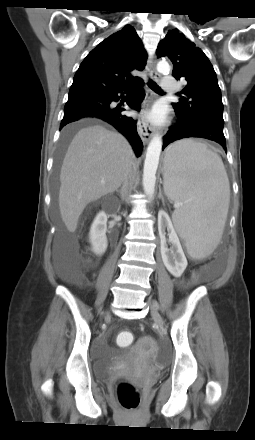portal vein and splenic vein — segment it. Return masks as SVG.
<instances>
[{
  "mask_svg": "<svg viewBox=\"0 0 255 440\" xmlns=\"http://www.w3.org/2000/svg\"><path fill=\"white\" fill-rule=\"evenodd\" d=\"M174 207H175V208H178V207H179V204H175Z\"/></svg>",
  "mask_w": 255,
  "mask_h": 440,
  "instance_id": "portal-vein-and-splenic-vein-1",
  "label": "portal vein and splenic vein"
}]
</instances>
